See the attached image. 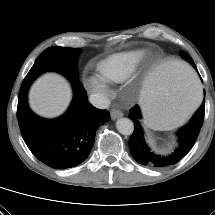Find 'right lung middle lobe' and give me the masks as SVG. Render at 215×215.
I'll return each mask as SVG.
<instances>
[{
	"label": "right lung middle lobe",
	"mask_w": 215,
	"mask_h": 215,
	"mask_svg": "<svg viewBox=\"0 0 215 215\" xmlns=\"http://www.w3.org/2000/svg\"><path fill=\"white\" fill-rule=\"evenodd\" d=\"M79 51L76 48L50 47L36 59L20 88L18 114L25 109L27 92L31 83L43 72L56 71L66 76L70 81L78 79L74 61Z\"/></svg>",
	"instance_id": "obj_1"
}]
</instances>
